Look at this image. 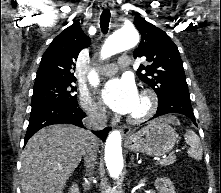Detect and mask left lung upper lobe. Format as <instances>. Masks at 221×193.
<instances>
[{"mask_svg": "<svg viewBox=\"0 0 221 193\" xmlns=\"http://www.w3.org/2000/svg\"><path fill=\"white\" fill-rule=\"evenodd\" d=\"M134 25L141 34V42L134 50V58L145 56L148 65H140L138 77L148 84L163 101L179 90H188L182 60L175 43L158 27L135 16ZM141 71H145L144 74Z\"/></svg>", "mask_w": 221, "mask_h": 193, "instance_id": "1", "label": "left lung upper lobe"}]
</instances>
